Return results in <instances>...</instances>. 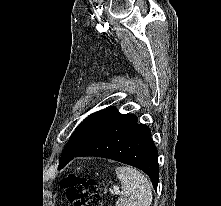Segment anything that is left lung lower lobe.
<instances>
[{
    "label": "left lung lower lobe",
    "instance_id": "0a47b994",
    "mask_svg": "<svg viewBox=\"0 0 221 206\" xmlns=\"http://www.w3.org/2000/svg\"><path fill=\"white\" fill-rule=\"evenodd\" d=\"M96 156L116 160L144 171L157 190L158 152L150 129L133 114H121L101 134L74 157ZM74 157L59 168L64 167Z\"/></svg>",
    "mask_w": 221,
    "mask_h": 206
}]
</instances>
